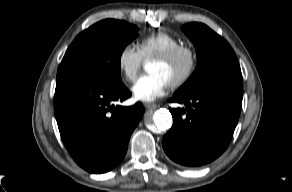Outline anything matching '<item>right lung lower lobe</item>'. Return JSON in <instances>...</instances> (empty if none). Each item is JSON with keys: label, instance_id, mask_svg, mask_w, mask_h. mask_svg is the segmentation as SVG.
Instances as JSON below:
<instances>
[{"label": "right lung lower lobe", "instance_id": "right-lung-lower-lobe-1", "mask_svg": "<svg viewBox=\"0 0 292 192\" xmlns=\"http://www.w3.org/2000/svg\"><path fill=\"white\" fill-rule=\"evenodd\" d=\"M131 96L124 84L107 87L94 80L57 78L54 113L61 138L76 163L105 173L124 158L129 138L144 113L141 103L114 106Z\"/></svg>", "mask_w": 292, "mask_h": 192}]
</instances>
